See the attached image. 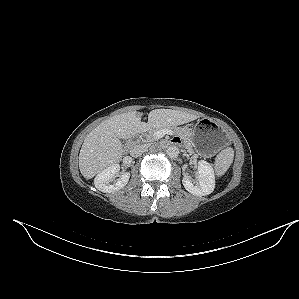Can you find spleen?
<instances>
[{"label": "spleen", "instance_id": "spleen-1", "mask_svg": "<svg viewBox=\"0 0 299 299\" xmlns=\"http://www.w3.org/2000/svg\"><path fill=\"white\" fill-rule=\"evenodd\" d=\"M234 150L231 147L223 149L215 158L214 168L218 177L224 175L233 162Z\"/></svg>", "mask_w": 299, "mask_h": 299}]
</instances>
